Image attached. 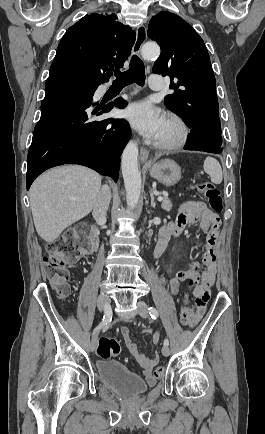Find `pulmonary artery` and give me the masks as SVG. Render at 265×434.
<instances>
[{
	"label": "pulmonary artery",
	"instance_id": "obj_1",
	"mask_svg": "<svg viewBox=\"0 0 265 434\" xmlns=\"http://www.w3.org/2000/svg\"><path fill=\"white\" fill-rule=\"evenodd\" d=\"M149 83L150 84H161L162 83V76L161 75H150L149 76Z\"/></svg>",
	"mask_w": 265,
	"mask_h": 434
}]
</instances>
